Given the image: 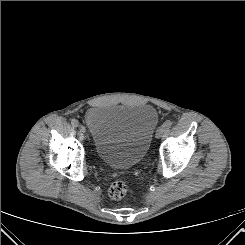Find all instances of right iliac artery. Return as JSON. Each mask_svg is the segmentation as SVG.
Returning <instances> with one entry per match:
<instances>
[{
  "mask_svg": "<svg viewBox=\"0 0 245 245\" xmlns=\"http://www.w3.org/2000/svg\"><path fill=\"white\" fill-rule=\"evenodd\" d=\"M71 125H72L73 127H78V125H79L78 120L72 119V120H71Z\"/></svg>",
  "mask_w": 245,
  "mask_h": 245,
  "instance_id": "right-iliac-artery-1",
  "label": "right iliac artery"
}]
</instances>
